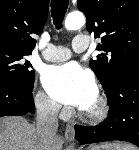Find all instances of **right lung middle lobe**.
Instances as JSON below:
<instances>
[{
  "label": "right lung middle lobe",
  "instance_id": "dd1d6c3e",
  "mask_svg": "<svg viewBox=\"0 0 139 150\" xmlns=\"http://www.w3.org/2000/svg\"><path fill=\"white\" fill-rule=\"evenodd\" d=\"M31 53L0 48V81L23 87L33 86L35 73L26 56Z\"/></svg>",
  "mask_w": 139,
  "mask_h": 150
}]
</instances>
